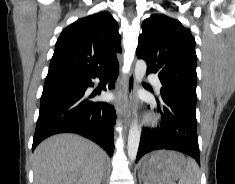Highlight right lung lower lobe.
I'll return each instance as SVG.
<instances>
[{
  "instance_id": "98d812e1",
  "label": "right lung lower lobe",
  "mask_w": 235,
  "mask_h": 184,
  "mask_svg": "<svg viewBox=\"0 0 235 184\" xmlns=\"http://www.w3.org/2000/svg\"><path fill=\"white\" fill-rule=\"evenodd\" d=\"M119 65L97 74L48 73L41 96L32 151L45 138L58 133H77L100 145L109 156L114 146L110 140L116 119L115 109L104 102H92L85 91L93 87V79L114 75L108 88H114ZM106 90V88H105Z\"/></svg>"
}]
</instances>
